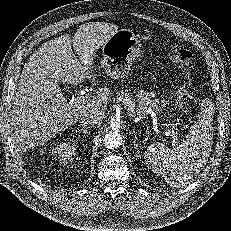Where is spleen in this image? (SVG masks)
<instances>
[{
    "instance_id": "3e777b00",
    "label": "spleen",
    "mask_w": 231,
    "mask_h": 231,
    "mask_svg": "<svg viewBox=\"0 0 231 231\" xmlns=\"http://www.w3.org/2000/svg\"><path fill=\"white\" fill-rule=\"evenodd\" d=\"M211 116L212 110H204L183 142L172 149L162 143L151 144L145 154L148 168L172 186L187 184L201 171L210 155L213 142Z\"/></svg>"
}]
</instances>
